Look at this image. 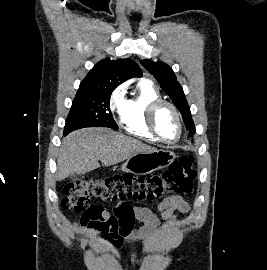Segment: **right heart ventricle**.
Wrapping results in <instances>:
<instances>
[{"label": "right heart ventricle", "instance_id": "obj_1", "mask_svg": "<svg viewBox=\"0 0 267 270\" xmlns=\"http://www.w3.org/2000/svg\"><path fill=\"white\" fill-rule=\"evenodd\" d=\"M161 95L154 84L149 80H141L138 84V92L132 98L126 100L120 114V125L129 134L150 143L157 140L149 131L146 124L148 106Z\"/></svg>", "mask_w": 267, "mask_h": 270}]
</instances>
